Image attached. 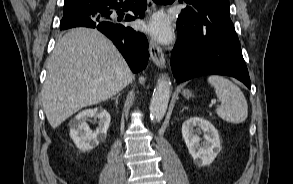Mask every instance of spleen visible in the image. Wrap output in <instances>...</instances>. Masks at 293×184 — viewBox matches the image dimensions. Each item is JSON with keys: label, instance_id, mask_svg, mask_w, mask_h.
Here are the masks:
<instances>
[{"label": "spleen", "instance_id": "3e777b00", "mask_svg": "<svg viewBox=\"0 0 293 184\" xmlns=\"http://www.w3.org/2000/svg\"><path fill=\"white\" fill-rule=\"evenodd\" d=\"M207 80L221 100V105L216 109L217 115L230 123L244 122L248 116V104L241 89L220 75H211Z\"/></svg>", "mask_w": 293, "mask_h": 184}]
</instances>
